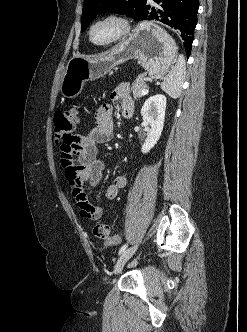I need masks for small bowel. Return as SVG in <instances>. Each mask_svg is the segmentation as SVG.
I'll use <instances>...</instances> for the list:
<instances>
[{
  "label": "small bowel",
  "mask_w": 247,
  "mask_h": 332,
  "mask_svg": "<svg viewBox=\"0 0 247 332\" xmlns=\"http://www.w3.org/2000/svg\"><path fill=\"white\" fill-rule=\"evenodd\" d=\"M110 100L111 103L103 104L97 109L94 115L95 126L87 135L76 137L73 146L61 145L60 149V164L66 183L81 216L90 220H98L103 214L102 208L92 203L87 186L90 190H95L102 179L105 162L98 158V152L100 145L110 141L114 135V104L119 105L124 118H130L134 114V102L126 84L116 87L110 94ZM126 183V176H116L103 197L107 200L114 199Z\"/></svg>",
  "instance_id": "c3829d8e"
}]
</instances>
